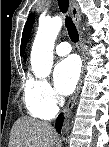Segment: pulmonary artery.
<instances>
[{"instance_id": "1", "label": "pulmonary artery", "mask_w": 109, "mask_h": 147, "mask_svg": "<svg viewBox=\"0 0 109 147\" xmlns=\"http://www.w3.org/2000/svg\"><path fill=\"white\" fill-rule=\"evenodd\" d=\"M71 45L68 42H61L55 46L54 52L58 56H66L71 52ZM53 116L48 117L47 119H52Z\"/></svg>"}]
</instances>
